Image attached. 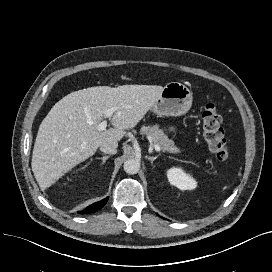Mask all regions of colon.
<instances>
[{"instance_id":"obj_1","label":"colon","mask_w":272,"mask_h":272,"mask_svg":"<svg viewBox=\"0 0 272 272\" xmlns=\"http://www.w3.org/2000/svg\"><path fill=\"white\" fill-rule=\"evenodd\" d=\"M202 135L210 152L221 161L230 157L229 146L222 128V118L216 104L207 102L201 115Z\"/></svg>"}]
</instances>
